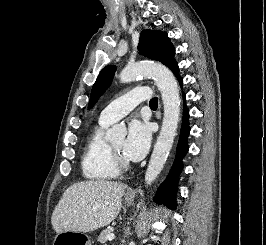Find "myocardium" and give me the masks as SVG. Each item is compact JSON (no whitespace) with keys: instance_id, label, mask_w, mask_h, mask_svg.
<instances>
[{"instance_id":"myocardium-1","label":"myocardium","mask_w":266,"mask_h":245,"mask_svg":"<svg viewBox=\"0 0 266 245\" xmlns=\"http://www.w3.org/2000/svg\"><path fill=\"white\" fill-rule=\"evenodd\" d=\"M108 148H109V154L111 157V160L114 164V166L119 170V171H126L130 168V164L128 161L119 155L112 147L110 143H108Z\"/></svg>"}]
</instances>
